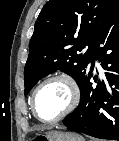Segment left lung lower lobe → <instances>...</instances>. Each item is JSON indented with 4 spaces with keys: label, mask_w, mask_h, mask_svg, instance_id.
Returning <instances> with one entry per match:
<instances>
[{
    "label": "left lung lower lobe",
    "mask_w": 119,
    "mask_h": 141,
    "mask_svg": "<svg viewBox=\"0 0 119 141\" xmlns=\"http://www.w3.org/2000/svg\"><path fill=\"white\" fill-rule=\"evenodd\" d=\"M97 59L105 77L92 86L90 78ZM94 76V80H97ZM79 106L63 123L84 134L119 141V9L98 33L93 47L91 67L80 85Z\"/></svg>",
    "instance_id": "obj_1"
}]
</instances>
